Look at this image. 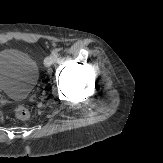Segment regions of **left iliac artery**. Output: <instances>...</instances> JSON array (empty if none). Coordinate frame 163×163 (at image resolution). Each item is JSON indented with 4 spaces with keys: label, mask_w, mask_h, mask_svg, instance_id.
I'll use <instances>...</instances> for the list:
<instances>
[{
    "label": "left iliac artery",
    "mask_w": 163,
    "mask_h": 163,
    "mask_svg": "<svg viewBox=\"0 0 163 163\" xmlns=\"http://www.w3.org/2000/svg\"><path fill=\"white\" fill-rule=\"evenodd\" d=\"M52 55H54V57L57 58V56H58V50L57 49H54L52 51Z\"/></svg>",
    "instance_id": "44dca946"
}]
</instances>
